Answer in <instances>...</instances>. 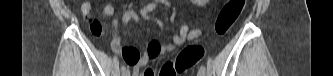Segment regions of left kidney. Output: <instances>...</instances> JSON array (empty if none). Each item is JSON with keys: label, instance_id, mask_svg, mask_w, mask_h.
<instances>
[{"label": "left kidney", "instance_id": "obj_1", "mask_svg": "<svg viewBox=\"0 0 333 76\" xmlns=\"http://www.w3.org/2000/svg\"><path fill=\"white\" fill-rule=\"evenodd\" d=\"M194 2H198L197 0H194ZM202 2H206V1H202Z\"/></svg>", "mask_w": 333, "mask_h": 76}]
</instances>
